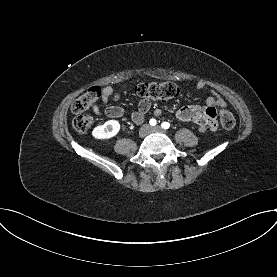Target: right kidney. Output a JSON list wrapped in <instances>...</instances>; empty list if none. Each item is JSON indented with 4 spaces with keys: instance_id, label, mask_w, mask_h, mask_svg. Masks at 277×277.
<instances>
[{
    "instance_id": "ca27d5eb",
    "label": "right kidney",
    "mask_w": 277,
    "mask_h": 277,
    "mask_svg": "<svg viewBox=\"0 0 277 277\" xmlns=\"http://www.w3.org/2000/svg\"><path fill=\"white\" fill-rule=\"evenodd\" d=\"M120 130V124L117 120H109L103 125L95 127L92 135L96 139H110L117 135Z\"/></svg>"
}]
</instances>
